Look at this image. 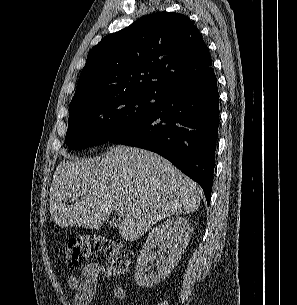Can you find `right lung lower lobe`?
Segmentation results:
<instances>
[{"label":"right lung lower lobe","instance_id":"98d812e1","mask_svg":"<svg viewBox=\"0 0 297 305\" xmlns=\"http://www.w3.org/2000/svg\"><path fill=\"white\" fill-rule=\"evenodd\" d=\"M219 126L217 79L167 89L148 116L110 139L156 152L195 180L210 202Z\"/></svg>","mask_w":297,"mask_h":305}]
</instances>
